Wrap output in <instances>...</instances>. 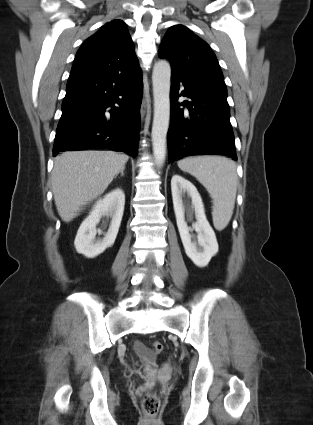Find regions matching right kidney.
I'll list each match as a JSON object with an SVG mask.
<instances>
[{
	"instance_id": "obj_1",
	"label": "right kidney",
	"mask_w": 313,
	"mask_h": 425,
	"mask_svg": "<svg viewBox=\"0 0 313 425\" xmlns=\"http://www.w3.org/2000/svg\"><path fill=\"white\" fill-rule=\"evenodd\" d=\"M125 205V194L115 189L99 199L89 216L80 225L74 246L76 251L87 258H94L111 247L118 234ZM102 217L111 218V224L102 240H96V225Z\"/></svg>"
}]
</instances>
